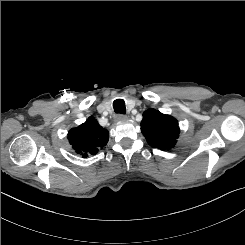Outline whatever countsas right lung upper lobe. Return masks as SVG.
I'll use <instances>...</instances> for the list:
<instances>
[{"label":"right lung upper lobe","mask_w":245,"mask_h":245,"mask_svg":"<svg viewBox=\"0 0 245 245\" xmlns=\"http://www.w3.org/2000/svg\"><path fill=\"white\" fill-rule=\"evenodd\" d=\"M73 149L83 158L96 154L109 140V132L102 128L97 120L89 117L85 123L68 132Z\"/></svg>","instance_id":"obj_1"}]
</instances>
